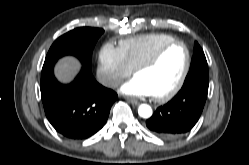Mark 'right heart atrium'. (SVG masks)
I'll return each mask as SVG.
<instances>
[{"mask_svg": "<svg viewBox=\"0 0 249 165\" xmlns=\"http://www.w3.org/2000/svg\"><path fill=\"white\" fill-rule=\"evenodd\" d=\"M131 72L119 48L110 43L101 48L98 55L97 76L103 85L115 88Z\"/></svg>", "mask_w": 249, "mask_h": 165, "instance_id": "right-heart-atrium-1", "label": "right heart atrium"}]
</instances>
